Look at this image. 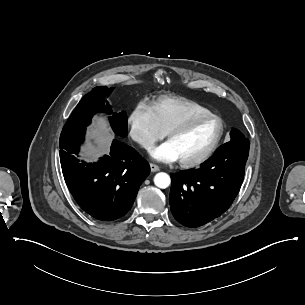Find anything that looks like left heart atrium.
Segmentation results:
<instances>
[{
  "instance_id": "left-heart-atrium-1",
  "label": "left heart atrium",
  "mask_w": 305,
  "mask_h": 305,
  "mask_svg": "<svg viewBox=\"0 0 305 305\" xmlns=\"http://www.w3.org/2000/svg\"><path fill=\"white\" fill-rule=\"evenodd\" d=\"M151 156L163 162H171L179 160V154L170 140L164 142L151 152Z\"/></svg>"
}]
</instances>
